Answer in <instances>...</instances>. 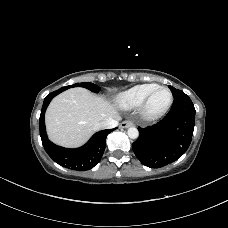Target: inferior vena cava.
Here are the masks:
<instances>
[{
    "label": "inferior vena cava",
    "instance_id": "obj_1",
    "mask_svg": "<svg viewBox=\"0 0 228 228\" xmlns=\"http://www.w3.org/2000/svg\"><path fill=\"white\" fill-rule=\"evenodd\" d=\"M118 120L115 119H106L104 121H101L100 123L97 124L96 129H112L118 126Z\"/></svg>",
    "mask_w": 228,
    "mask_h": 228
}]
</instances>
